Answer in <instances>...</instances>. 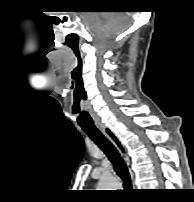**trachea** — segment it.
<instances>
[{"label": "trachea", "instance_id": "3493384b", "mask_svg": "<svg viewBox=\"0 0 194 202\" xmlns=\"http://www.w3.org/2000/svg\"><path fill=\"white\" fill-rule=\"evenodd\" d=\"M82 130L88 134L92 141L106 154L115 167V171L124 181L127 188L131 187V178L128 168L116 147L101 133L95 125H81Z\"/></svg>", "mask_w": 194, "mask_h": 202}]
</instances>
